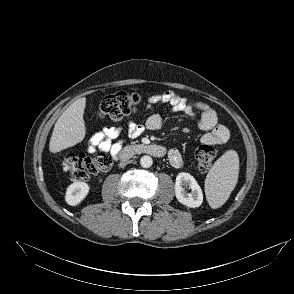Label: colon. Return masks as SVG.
Masks as SVG:
<instances>
[{
  "label": "colon",
  "instance_id": "colon-1",
  "mask_svg": "<svg viewBox=\"0 0 294 294\" xmlns=\"http://www.w3.org/2000/svg\"><path fill=\"white\" fill-rule=\"evenodd\" d=\"M141 101L137 93L118 91L105 97L99 107L101 117L120 119L135 113ZM215 147L203 144L195 152V159L200 171L207 172L215 159ZM111 166V159L104 153L94 156L84 154H69L63 160V167L73 181L87 180L91 175L106 171Z\"/></svg>",
  "mask_w": 294,
  "mask_h": 294
}]
</instances>
